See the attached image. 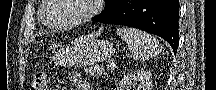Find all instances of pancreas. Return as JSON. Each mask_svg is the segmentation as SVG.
<instances>
[{
    "mask_svg": "<svg viewBox=\"0 0 216 90\" xmlns=\"http://www.w3.org/2000/svg\"><path fill=\"white\" fill-rule=\"evenodd\" d=\"M90 76H97V74H102L104 68H101V64H90Z\"/></svg>",
    "mask_w": 216,
    "mask_h": 90,
    "instance_id": "1",
    "label": "pancreas"
}]
</instances>
